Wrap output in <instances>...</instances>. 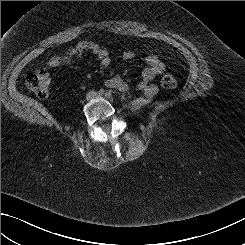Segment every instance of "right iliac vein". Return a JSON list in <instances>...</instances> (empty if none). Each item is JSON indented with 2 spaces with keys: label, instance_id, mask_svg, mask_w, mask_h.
I'll return each instance as SVG.
<instances>
[{
  "label": "right iliac vein",
  "instance_id": "63e3f726",
  "mask_svg": "<svg viewBox=\"0 0 245 245\" xmlns=\"http://www.w3.org/2000/svg\"><path fill=\"white\" fill-rule=\"evenodd\" d=\"M94 97V93H89V95H88V99H92Z\"/></svg>",
  "mask_w": 245,
  "mask_h": 245
}]
</instances>
